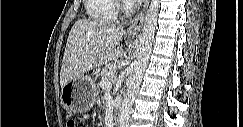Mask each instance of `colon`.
I'll return each instance as SVG.
<instances>
[{
    "instance_id": "obj_1",
    "label": "colon",
    "mask_w": 243,
    "mask_h": 127,
    "mask_svg": "<svg viewBox=\"0 0 243 127\" xmlns=\"http://www.w3.org/2000/svg\"><path fill=\"white\" fill-rule=\"evenodd\" d=\"M67 127H75L76 126V122L73 119H69L66 123Z\"/></svg>"
}]
</instances>
